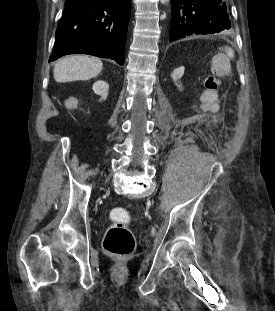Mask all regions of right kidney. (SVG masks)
Listing matches in <instances>:
<instances>
[{"label":"right kidney","mask_w":275,"mask_h":311,"mask_svg":"<svg viewBox=\"0 0 275 311\" xmlns=\"http://www.w3.org/2000/svg\"><path fill=\"white\" fill-rule=\"evenodd\" d=\"M109 89V84L105 81L98 80L93 85V91L100 95L102 98L98 100V103L100 105H105L107 103V100L110 98V95L107 93Z\"/></svg>","instance_id":"obj_1"}]
</instances>
